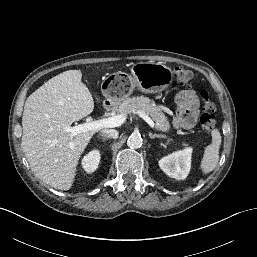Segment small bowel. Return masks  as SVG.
Wrapping results in <instances>:
<instances>
[{
	"mask_svg": "<svg viewBox=\"0 0 257 257\" xmlns=\"http://www.w3.org/2000/svg\"><path fill=\"white\" fill-rule=\"evenodd\" d=\"M178 111L172 121L174 127L192 128L199 112V100L193 90H182L176 96Z\"/></svg>",
	"mask_w": 257,
	"mask_h": 257,
	"instance_id": "c3829d8e",
	"label": "small bowel"
}]
</instances>
